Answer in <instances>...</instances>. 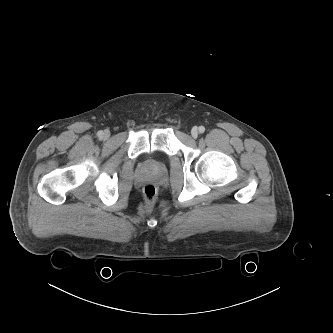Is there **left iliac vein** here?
<instances>
[{"label":"left iliac vein","instance_id":"left-iliac-vein-1","mask_svg":"<svg viewBox=\"0 0 333 333\" xmlns=\"http://www.w3.org/2000/svg\"><path fill=\"white\" fill-rule=\"evenodd\" d=\"M191 135H192L193 138H197L198 137V129L196 127H194L191 130Z\"/></svg>","mask_w":333,"mask_h":333}]
</instances>
